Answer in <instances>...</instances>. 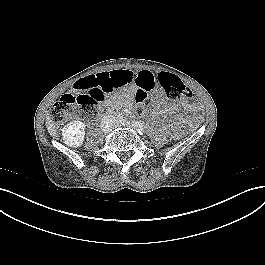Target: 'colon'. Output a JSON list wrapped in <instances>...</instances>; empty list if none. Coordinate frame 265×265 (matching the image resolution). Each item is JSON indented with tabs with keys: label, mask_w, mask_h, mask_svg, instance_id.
I'll return each mask as SVG.
<instances>
[{
	"label": "colon",
	"mask_w": 265,
	"mask_h": 265,
	"mask_svg": "<svg viewBox=\"0 0 265 265\" xmlns=\"http://www.w3.org/2000/svg\"><path fill=\"white\" fill-rule=\"evenodd\" d=\"M162 93L151 94L149 89L138 90L135 94L136 113L144 114L148 105H162L165 99L183 100V108L190 113L199 109V100L190 94L184 83L170 73H162L159 77ZM118 89L115 83L104 76L84 77L73 85V92L64 94L51 108L50 119L60 124L74 115L92 117L97 113L98 105L106 94Z\"/></svg>",
	"instance_id": "5ec220e1"
}]
</instances>
